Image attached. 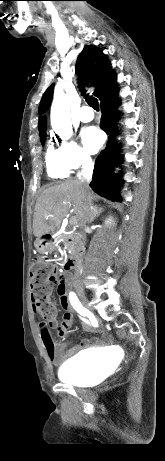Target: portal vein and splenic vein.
Listing matches in <instances>:
<instances>
[{"label":"portal vein and splenic vein","mask_w":165,"mask_h":461,"mask_svg":"<svg viewBox=\"0 0 165 461\" xmlns=\"http://www.w3.org/2000/svg\"><path fill=\"white\" fill-rule=\"evenodd\" d=\"M77 222L78 221H77L76 217H71L70 218V224L75 225V224H77Z\"/></svg>","instance_id":"1"}]
</instances>
